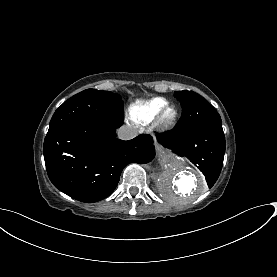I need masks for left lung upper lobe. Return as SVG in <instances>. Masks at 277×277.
Segmentation results:
<instances>
[{
    "label": "left lung upper lobe",
    "instance_id": "5c2ea615",
    "mask_svg": "<svg viewBox=\"0 0 277 277\" xmlns=\"http://www.w3.org/2000/svg\"><path fill=\"white\" fill-rule=\"evenodd\" d=\"M174 96L180 101L183 109V117L177 128L221 122L217 111L199 94L183 90L176 91Z\"/></svg>",
    "mask_w": 277,
    "mask_h": 277
}]
</instances>
